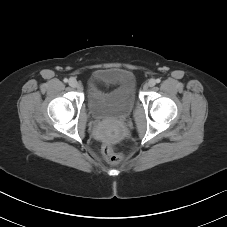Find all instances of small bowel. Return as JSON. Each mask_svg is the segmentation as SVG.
<instances>
[{
	"label": "small bowel",
	"instance_id": "c3829d8e",
	"mask_svg": "<svg viewBox=\"0 0 227 227\" xmlns=\"http://www.w3.org/2000/svg\"><path fill=\"white\" fill-rule=\"evenodd\" d=\"M117 91H118V90H115V91L112 92V93L105 94V93L101 92L100 90H98V89H96V88L94 89L95 94H96L97 96H99V97H102V98L111 97V96L115 95V93H116Z\"/></svg>",
	"mask_w": 227,
	"mask_h": 227
}]
</instances>
